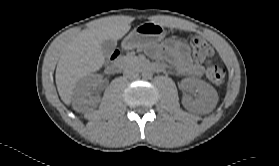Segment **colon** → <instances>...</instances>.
Returning <instances> with one entry per match:
<instances>
[{
	"label": "colon",
	"instance_id": "5ec220e1",
	"mask_svg": "<svg viewBox=\"0 0 279 166\" xmlns=\"http://www.w3.org/2000/svg\"><path fill=\"white\" fill-rule=\"evenodd\" d=\"M190 44L192 47L193 56L197 60H202L205 57L210 56L213 53L212 48L200 37H193L190 40ZM117 56V53H114L110 59L109 63H111ZM225 69L217 64H209L206 68V77L208 80L215 84L221 85L225 80Z\"/></svg>",
	"mask_w": 279,
	"mask_h": 166
}]
</instances>
